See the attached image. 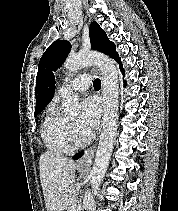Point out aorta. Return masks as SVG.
I'll return each mask as SVG.
<instances>
[{"instance_id": "obj_1", "label": "aorta", "mask_w": 178, "mask_h": 211, "mask_svg": "<svg viewBox=\"0 0 178 211\" xmlns=\"http://www.w3.org/2000/svg\"><path fill=\"white\" fill-rule=\"evenodd\" d=\"M89 65H97L101 71L104 104L103 127L91 170V184L92 188L96 190L106 173L115 142L118 126L119 82L113 60L98 52H80L69 56L65 62V69L67 73L71 74ZM64 109L69 113L79 111L80 105L76 95L69 96L64 104Z\"/></svg>"}]
</instances>
